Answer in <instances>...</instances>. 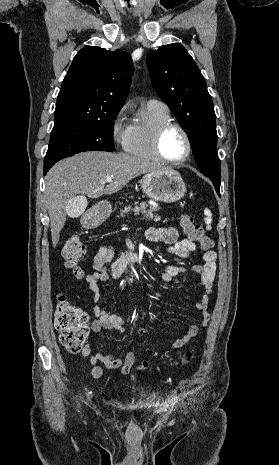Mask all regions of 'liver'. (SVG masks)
Returning a JSON list of instances; mask_svg holds the SVG:
<instances>
[{
    "label": "liver",
    "instance_id": "1",
    "mask_svg": "<svg viewBox=\"0 0 279 465\" xmlns=\"http://www.w3.org/2000/svg\"><path fill=\"white\" fill-rule=\"evenodd\" d=\"M162 170L159 165L126 153L88 151L57 162L45 177L44 202L50 217L53 247L68 214L67 204L83 195L85 208L89 198H98L120 191L129 181L145 174ZM112 180L104 186L106 179Z\"/></svg>",
    "mask_w": 279,
    "mask_h": 465
}]
</instances>
